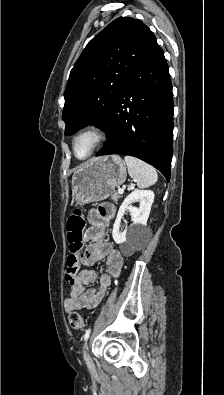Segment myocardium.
<instances>
[{
  "mask_svg": "<svg viewBox=\"0 0 224 395\" xmlns=\"http://www.w3.org/2000/svg\"><path fill=\"white\" fill-rule=\"evenodd\" d=\"M86 135L91 136L93 138V144H92L90 152L85 157L79 158L75 153V145H76L77 140L80 137L86 136ZM105 137H106L105 130L99 123H96V122L87 123L76 133V135L74 136V138L72 140V151H73L74 156L78 160H86V159L90 158L94 154V152L101 146Z\"/></svg>",
  "mask_w": 224,
  "mask_h": 395,
  "instance_id": "obj_1",
  "label": "myocardium"
}]
</instances>
